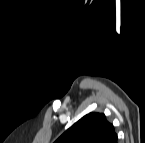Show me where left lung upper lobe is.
I'll return each mask as SVG.
<instances>
[{
    "label": "left lung upper lobe",
    "instance_id": "obj_1",
    "mask_svg": "<svg viewBox=\"0 0 145 143\" xmlns=\"http://www.w3.org/2000/svg\"><path fill=\"white\" fill-rule=\"evenodd\" d=\"M56 143H117V135L104 114L90 113L63 133Z\"/></svg>",
    "mask_w": 145,
    "mask_h": 143
}]
</instances>
